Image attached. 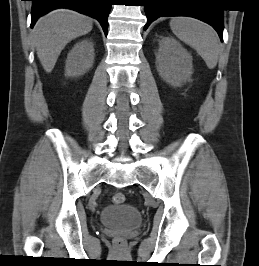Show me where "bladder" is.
<instances>
[{
  "label": "bladder",
  "mask_w": 259,
  "mask_h": 266,
  "mask_svg": "<svg viewBox=\"0 0 259 266\" xmlns=\"http://www.w3.org/2000/svg\"><path fill=\"white\" fill-rule=\"evenodd\" d=\"M141 222L138 209L128 204L107 206L100 215V223L107 227L132 229L140 226Z\"/></svg>",
  "instance_id": "31cf9c89"
}]
</instances>
